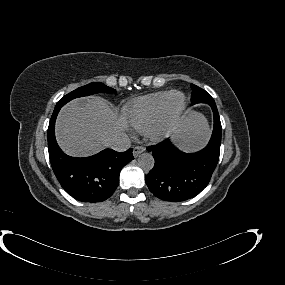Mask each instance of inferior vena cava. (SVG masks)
Segmentation results:
<instances>
[{"label":"inferior vena cava","instance_id":"obj_1","mask_svg":"<svg viewBox=\"0 0 285 285\" xmlns=\"http://www.w3.org/2000/svg\"><path fill=\"white\" fill-rule=\"evenodd\" d=\"M130 146L131 141L124 133L118 134L108 141V147L118 152L126 151Z\"/></svg>","mask_w":285,"mask_h":285}]
</instances>
